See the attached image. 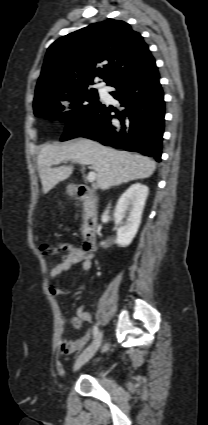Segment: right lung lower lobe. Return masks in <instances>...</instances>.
Returning <instances> with one entry per match:
<instances>
[{"label":"right lung lower lobe","mask_w":208,"mask_h":425,"mask_svg":"<svg viewBox=\"0 0 208 425\" xmlns=\"http://www.w3.org/2000/svg\"><path fill=\"white\" fill-rule=\"evenodd\" d=\"M159 73L151 53L121 70L108 84L125 109L101 104L68 121L61 140L85 137L103 145L135 151L161 160L165 103ZM116 114L113 115L112 113Z\"/></svg>","instance_id":"right-lung-lower-lobe-1"}]
</instances>
